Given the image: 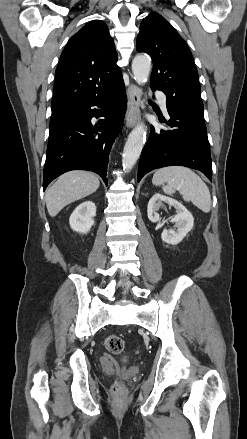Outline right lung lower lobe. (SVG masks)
Returning <instances> with one entry per match:
<instances>
[{
	"label": "right lung lower lobe",
	"mask_w": 247,
	"mask_h": 439,
	"mask_svg": "<svg viewBox=\"0 0 247 439\" xmlns=\"http://www.w3.org/2000/svg\"><path fill=\"white\" fill-rule=\"evenodd\" d=\"M123 79L108 93L71 106L50 120L44 166L43 189L70 170L99 174L107 185L106 170L110 149L119 134L126 110ZM94 106L102 110H96ZM105 119L97 124L93 117Z\"/></svg>",
	"instance_id": "1"
}]
</instances>
